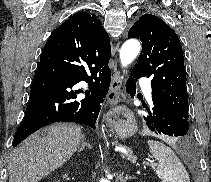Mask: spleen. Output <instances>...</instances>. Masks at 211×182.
Segmentation results:
<instances>
[{
    "instance_id": "spleen-1",
    "label": "spleen",
    "mask_w": 211,
    "mask_h": 182,
    "mask_svg": "<svg viewBox=\"0 0 211 182\" xmlns=\"http://www.w3.org/2000/svg\"><path fill=\"white\" fill-rule=\"evenodd\" d=\"M147 143L158 161L156 174L162 182H190L184 165L170 147L154 140H148Z\"/></svg>"
}]
</instances>
